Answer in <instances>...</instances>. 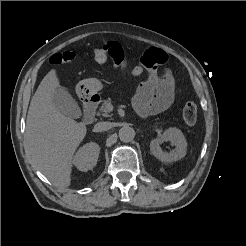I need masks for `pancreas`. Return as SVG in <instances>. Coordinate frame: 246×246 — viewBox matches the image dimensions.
<instances>
[{
	"label": "pancreas",
	"mask_w": 246,
	"mask_h": 246,
	"mask_svg": "<svg viewBox=\"0 0 246 246\" xmlns=\"http://www.w3.org/2000/svg\"><path fill=\"white\" fill-rule=\"evenodd\" d=\"M109 105H111V99L103 100V101H102V104H101V106H100V108H99L100 113H98V115L101 114V115L104 116V117H108L110 111H108L107 108H108Z\"/></svg>",
	"instance_id": "obj_1"
}]
</instances>
